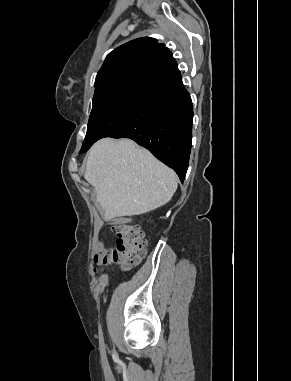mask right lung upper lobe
I'll use <instances>...</instances> for the list:
<instances>
[{"mask_svg": "<svg viewBox=\"0 0 291 381\" xmlns=\"http://www.w3.org/2000/svg\"><path fill=\"white\" fill-rule=\"evenodd\" d=\"M173 62L175 60L169 49L154 38L129 41L107 55L96 76L95 92L129 78H143Z\"/></svg>", "mask_w": 291, "mask_h": 381, "instance_id": "1", "label": "right lung upper lobe"}]
</instances>
